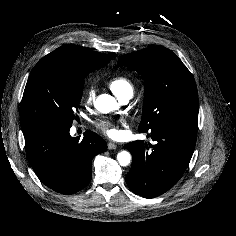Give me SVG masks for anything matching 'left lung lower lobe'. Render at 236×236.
I'll use <instances>...</instances> for the list:
<instances>
[{
  "instance_id": "obj_1",
  "label": "left lung lower lobe",
  "mask_w": 236,
  "mask_h": 236,
  "mask_svg": "<svg viewBox=\"0 0 236 236\" xmlns=\"http://www.w3.org/2000/svg\"><path fill=\"white\" fill-rule=\"evenodd\" d=\"M197 126L168 123L149 131L156 141L151 151L143 141L125 145L132 154L131 170L126 182L129 188L144 198H153L171 189L187 169L194 152Z\"/></svg>"
}]
</instances>
